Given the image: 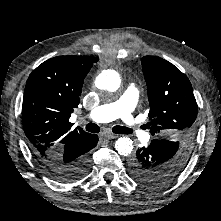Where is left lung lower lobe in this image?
<instances>
[{"mask_svg": "<svg viewBox=\"0 0 221 221\" xmlns=\"http://www.w3.org/2000/svg\"><path fill=\"white\" fill-rule=\"evenodd\" d=\"M166 154L167 148L158 139L152 140L147 147L139 148L129 163L131 177L146 186L159 187L164 185L167 182L157 183L152 178L163 175L160 164Z\"/></svg>", "mask_w": 221, "mask_h": 221, "instance_id": "0a47b994", "label": "left lung lower lobe"}]
</instances>
